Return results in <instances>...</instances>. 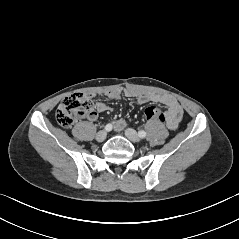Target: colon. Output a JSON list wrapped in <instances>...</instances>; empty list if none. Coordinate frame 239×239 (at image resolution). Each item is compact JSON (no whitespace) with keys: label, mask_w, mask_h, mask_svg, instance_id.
Wrapping results in <instances>:
<instances>
[{"label":"colon","mask_w":239,"mask_h":239,"mask_svg":"<svg viewBox=\"0 0 239 239\" xmlns=\"http://www.w3.org/2000/svg\"><path fill=\"white\" fill-rule=\"evenodd\" d=\"M94 112V104L89 95L75 93L63 99L56 110V120L63 127H70L79 117ZM147 119L164 121L165 114L159 106H150L145 110Z\"/></svg>","instance_id":"obj_1"}]
</instances>
